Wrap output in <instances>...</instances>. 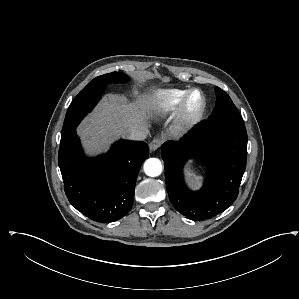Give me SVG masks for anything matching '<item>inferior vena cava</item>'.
Instances as JSON below:
<instances>
[{"mask_svg": "<svg viewBox=\"0 0 299 299\" xmlns=\"http://www.w3.org/2000/svg\"><path fill=\"white\" fill-rule=\"evenodd\" d=\"M149 133L147 127L143 124H135L130 127L127 137L131 140H144Z\"/></svg>", "mask_w": 299, "mask_h": 299, "instance_id": "inferior-vena-cava-1", "label": "inferior vena cava"}]
</instances>
